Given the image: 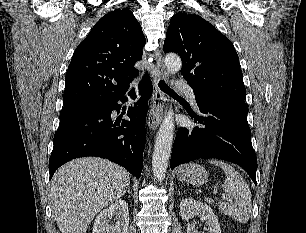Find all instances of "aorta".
Wrapping results in <instances>:
<instances>
[{
  "label": "aorta",
  "mask_w": 306,
  "mask_h": 233,
  "mask_svg": "<svg viewBox=\"0 0 306 233\" xmlns=\"http://www.w3.org/2000/svg\"><path fill=\"white\" fill-rule=\"evenodd\" d=\"M164 62L167 70L172 74L179 72L182 67L180 57L173 53L166 55ZM173 116L174 113L170 109L158 130L154 144L152 170L158 181L163 180L168 167L175 128Z\"/></svg>",
  "instance_id": "aorta-1"
}]
</instances>
